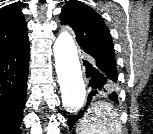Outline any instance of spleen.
Returning a JSON list of instances; mask_svg holds the SVG:
<instances>
[{
  "instance_id": "spleen-1",
  "label": "spleen",
  "mask_w": 153,
  "mask_h": 134,
  "mask_svg": "<svg viewBox=\"0 0 153 134\" xmlns=\"http://www.w3.org/2000/svg\"><path fill=\"white\" fill-rule=\"evenodd\" d=\"M119 114L113 106L104 101L91 104L79 121L77 134H121Z\"/></svg>"
}]
</instances>
